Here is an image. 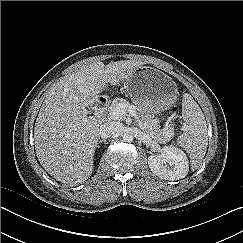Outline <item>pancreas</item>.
<instances>
[{"instance_id": "cf45deb5", "label": "pancreas", "mask_w": 243, "mask_h": 243, "mask_svg": "<svg viewBox=\"0 0 243 243\" xmlns=\"http://www.w3.org/2000/svg\"><path fill=\"white\" fill-rule=\"evenodd\" d=\"M123 103L127 108L131 105L123 98H116L112 101L110 111H112L118 104ZM137 114L143 122L142 129L154 141L163 143L169 141L173 135L174 130L171 127L160 129L159 122L152 115L148 114L141 107L135 106Z\"/></svg>"}]
</instances>
